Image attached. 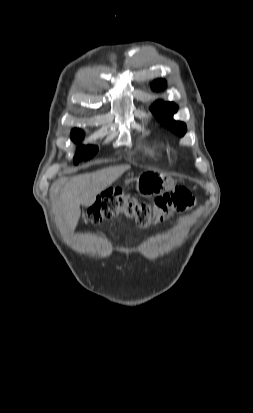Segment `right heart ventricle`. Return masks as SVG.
I'll return each instance as SVG.
<instances>
[{
  "label": "right heart ventricle",
  "mask_w": 253,
  "mask_h": 413,
  "mask_svg": "<svg viewBox=\"0 0 253 413\" xmlns=\"http://www.w3.org/2000/svg\"><path fill=\"white\" fill-rule=\"evenodd\" d=\"M142 153L148 157H156L159 152L155 147L144 145L141 148Z\"/></svg>",
  "instance_id": "1"
}]
</instances>
